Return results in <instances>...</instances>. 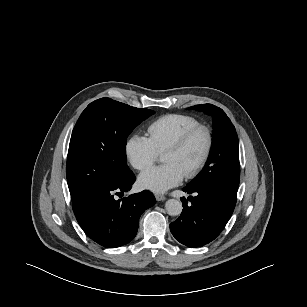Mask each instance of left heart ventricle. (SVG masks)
<instances>
[{
	"label": "left heart ventricle",
	"mask_w": 307,
	"mask_h": 307,
	"mask_svg": "<svg viewBox=\"0 0 307 307\" xmlns=\"http://www.w3.org/2000/svg\"><path fill=\"white\" fill-rule=\"evenodd\" d=\"M205 146L206 138L204 133L197 132L182 149L176 152L164 153L161 160L164 164H174L185 175L201 158Z\"/></svg>",
	"instance_id": "b2bd125f"
}]
</instances>
